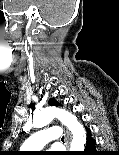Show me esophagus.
I'll list each match as a JSON object with an SVG mask.
<instances>
[{
  "label": "esophagus",
  "instance_id": "obj_1",
  "mask_svg": "<svg viewBox=\"0 0 119 155\" xmlns=\"http://www.w3.org/2000/svg\"><path fill=\"white\" fill-rule=\"evenodd\" d=\"M65 141H66V147L68 149L69 148V142H70V134L68 131H66Z\"/></svg>",
  "mask_w": 119,
  "mask_h": 155
}]
</instances>
